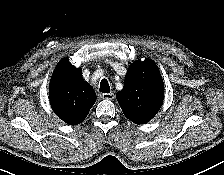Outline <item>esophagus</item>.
Returning <instances> with one entry per match:
<instances>
[{"label":"esophagus","mask_w":224,"mask_h":175,"mask_svg":"<svg viewBox=\"0 0 224 175\" xmlns=\"http://www.w3.org/2000/svg\"><path fill=\"white\" fill-rule=\"evenodd\" d=\"M101 98L104 100H113L115 98L114 93L110 92V93H103L101 95Z\"/></svg>","instance_id":"34e87169"}]
</instances>
